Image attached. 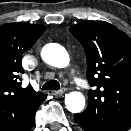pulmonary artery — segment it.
<instances>
[{
    "label": "pulmonary artery",
    "instance_id": "1",
    "mask_svg": "<svg viewBox=\"0 0 131 131\" xmlns=\"http://www.w3.org/2000/svg\"><path fill=\"white\" fill-rule=\"evenodd\" d=\"M76 81H77L79 84H81L82 86L86 87L84 81H82V80H80V79H77V78H76Z\"/></svg>",
    "mask_w": 131,
    "mask_h": 131
}]
</instances>
